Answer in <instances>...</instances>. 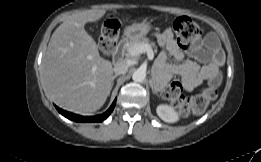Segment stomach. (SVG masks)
I'll return each instance as SVG.
<instances>
[{
    "label": "stomach",
    "mask_w": 261,
    "mask_h": 162,
    "mask_svg": "<svg viewBox=\"0 0 261 162\" xmlns=\"http://www.w3.org/2000/svg\"><path fill=\"white\" fill-rule=\"evenodd\" d=\"M153 26L149 22L133 23L124 29V35L129 39L142 38L147 35Z\"/></svg>",
    "instance_id": "1"
}]
</instances>
